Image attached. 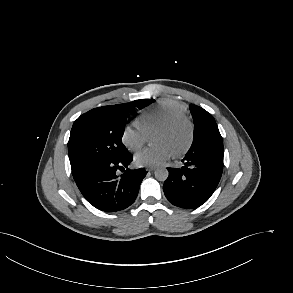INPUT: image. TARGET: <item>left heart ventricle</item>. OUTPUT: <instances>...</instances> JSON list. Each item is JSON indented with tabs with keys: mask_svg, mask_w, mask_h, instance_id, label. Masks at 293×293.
<instances>
[{
	"mask_svg": "<svg viewBox=\"0 0 293 293\" xmlns=\"http://www.w3.org/2000/svg\"><path fill=\"white\" fill-rule=\"evenodd\" d=\"M188 128L186 125H181L173 130H157L154 136L156 143L168 144L173 152H176L184 147L188 140Z\"/></svg>",
	"mask_w": 293,
	"mask_h": 293,
	"instance_id": "1",
	"label": "left heart ventricle"
}]
</instances>
